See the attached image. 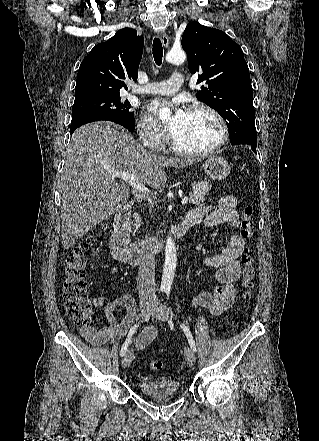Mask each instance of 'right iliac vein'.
I'll list each match as a JSON object with an SVG mask.
<instances>
[{"label":"right iliac vein","mask_w":319,"mask_h":441,"mask_svg":"<svg viewBox=\"0 0 319 441\" xmlns=\"http://www.w3.org/2000/svg\"><path fill=\"white\" fill-rule=\"evenodd\" d=\"M150 305H151V301L150 300H143L142 302H141V304H140V317L141 318H143L144 316H145V314L147 313V311L149 310V308H150ZM133 357H134V353H133V350L132 349H129L126 353H125V355H124V357H123V359H122V366L124 367V368H126V367H128L130 364H131V362H132V360H133Z\"/></svg>","instance_id":"1"}]
</instances>
